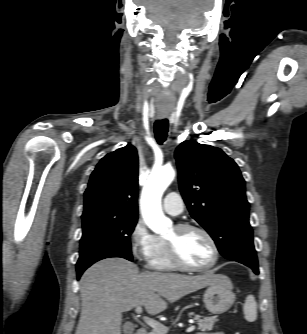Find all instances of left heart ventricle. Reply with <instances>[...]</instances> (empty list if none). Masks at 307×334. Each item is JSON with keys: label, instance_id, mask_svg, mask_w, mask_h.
Returning <instances> with one entry per match:
<instances>
[{"label": "left heart ventricle", "instance_id": "left-heart-ventricle-1", "mask_svg": "<svg viewBox=\"0 0 307 334\" xmlns=\"http://www.w3.org/2000/svg\"><path fill=\"white\" fill-rule=\"evenodd\" d=\"M166 240L176 243L180 256L189 265L204 266L212 260V247L206 237L198 231L179 232L174 227Z\"/></svg>", "mask_w": 307, "mask_h": 334}]
</instances>
